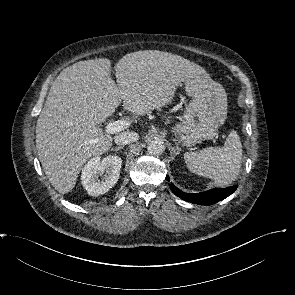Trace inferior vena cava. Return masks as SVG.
Returning a JSON list of instances; mask_svg holds the SVG:
<instances>
[{
  "mask_svg": "<svg viewBox=\"0 0 295 295\" xmlns=\"http://www.w3.org/2000/svg\"><path fill=\"white\" fill-rule=\"evenodd\" d=\"M139 135L136 132L127 131L115 136V143L118 145H127L137 141Z\"/></svg>",
  "mask_w": 295,
  "mask_h": 295,
  "instance_id": "obj_1",
  "label": "inferior vena cava"
}]
</instances>
